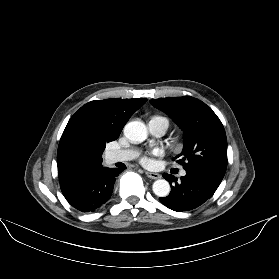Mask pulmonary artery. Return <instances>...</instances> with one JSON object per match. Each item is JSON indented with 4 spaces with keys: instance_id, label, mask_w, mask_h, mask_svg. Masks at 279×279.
<instances>
[{
    "instance_id": "obj_1",
    "label": "pulmonary artery",
    "mask_w": 279,
    "mask_h": 279,
    "mask_svg": "<svg viewBox=\"0 0 279 279\" xmlns=\"http://www.w3.org/2000/svg\"><path fill=\"white\" fill-rule=\"evenodd\" d=\"M167 124L164 121L151 120L149 122V131L154 136L160 137L164 135L167 130ZM137 156V153L134 150L122 149V150H113L107 154V161L109 163L123 162L132 160ZM185 171H181V175L184 176Z\"/></svg>"
}]
</instances>
